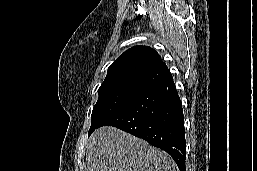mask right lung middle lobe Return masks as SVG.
<instances>
[{"label": "right lung middle lobe", "instance_id": "right-lung-middle-lobe-1", "mask_svg": "<svg viewBox=\"0 0 257 171\" xmlns=\"http://www.w3.org/2000/svg\"><path fill=\"white\" fill-rule=\"evenodd\" d=\"M145 90H147L145 86L130 88L110 86L99 88V97L92 111L91 127L88 134L90 135L109 116Z\"/></svg>", "mask_w": 257, "mask_h": 171}]
</instances>
